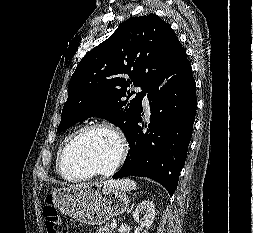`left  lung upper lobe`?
I'll return each mask as SVG.
<instances>
[{"label":"left lung upper lobe","instance_id":"left-lung-upper-lobe-1","mask_svg":"<svg viewBox=\"0 0 253 233\" xmlns=\"http://www.w3.org/2000/svg\"><path fill=\"white\" fill-rule=\"evenodd\" d=\"M178 43L170 25L155 14L124 21L77 65L57 133L96 115L127 136L143 96L163 75ZM131 86L142 92L129 100Z\"/></svg>","mask_w":253,"mask_h":233}]
</instances>
